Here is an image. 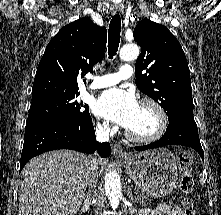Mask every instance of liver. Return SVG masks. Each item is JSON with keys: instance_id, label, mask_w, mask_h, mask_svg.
Masks as SVG:
<instances>
[{"instance_id": "obj_1", "label": "liver", "mask_w": 221, "mask_h": 215, "mask_svg": "<svg viewBox=\"0 0 221 215\" xmlns=\"http://www.w3.org/2000/svg\"><path fill=\"white\" fill-rule=\"evenodd\" d=\"M90 161L71 150L31 159L21 172L18 215H75L88 185Z\"/></svg>"}]
</instances>
